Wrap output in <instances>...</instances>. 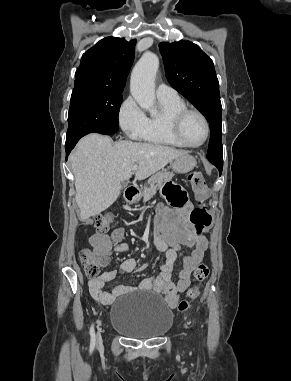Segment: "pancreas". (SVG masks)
Returning <instances> with one entry per match:
<instances>
[{
	"mask_svg": "<svg viewBox=\"0 0 291 381\" xmlns=\"http://www.w3.org/2000/svg\"><path fill=\"white\" fill-rule=\"evenodd\" d=\"M174 174L167 171H159L148 180V186L144 187L143 202L149 201L163 185L164 182L172 179Z\"/></svg>",
	"mask_w": 291,
	"mask_h": 381,
	"instance_id": "cf45deb5",
	"label": "pancreas"
}]
</instances>
